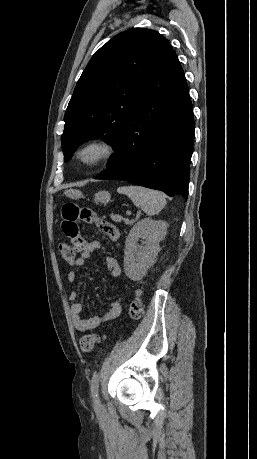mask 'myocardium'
I'll return each instance as SVG.
<instances>
[{
  "instance_id": "f54148a6",
  "label": "myocardium",
  "mask_w": 257,
  "mask_h": 459,
  "mask_svg": "<svg viewBox=\"0 0 257 459\" xmlns=\"http://www.w3.org/2000/svg\"><path fill=\"white\" fill-rule=\"evenodd\" d=\"M88 150H95L97 155L91 160H84L83 154ZM116 150V146L111 140L103 137L93 138L76 148L74 158L81 168L91 170L111 160Z\"/></svg>"
}]
</instances>
